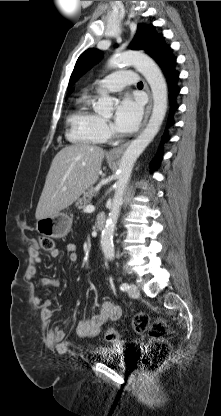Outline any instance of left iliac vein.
I'll return each instance as SVG.
<instances>
[{"instance_id": "1", "label": "left iliac vein", "mask_w": 221, "mask_h": 416, "mask_svg": "<svg viewBox=\"0 0 221 416\" xmlns=\"http://www.w3.org/2000/svg\"><path fill=\"white\" fill-rule=\"evenodd\" d=\"M128 294L132 298H136V297L139 296V289H138V287L134 283H131L130 284V287H129V290H128Z\"/></svg>"}]
</instances>
